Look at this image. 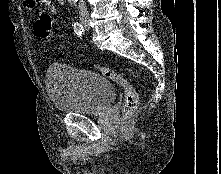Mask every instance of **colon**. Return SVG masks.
I'll use <instances>...</instances> for the list:
<instances>
[{"label": "colon", "mask_w": 221, "mask_h": 174, "mask_svg": "<svg viewBox=\"0 0 221 174\" xmlns=\"http://www.w3.org/2000/svg\"><path fill=\"white\" fill-rule=\"evenodd\" d=\"M35 35L39 39H52L53 38V22L48 14H42L38 17L34 24ZM95 69L117 83L124 90V105L122 108L124 119H128L138 107L139 97L135 87L120 73L104 66H95Z\"/></svg>", "instance_id": "5ec220e1"}]
</instances>
